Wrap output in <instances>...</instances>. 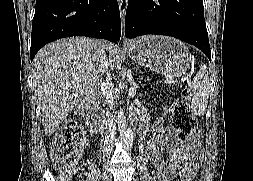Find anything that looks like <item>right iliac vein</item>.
I'll list each match as a JSON object with an SVG mask.
<instances>
[{"mask_svg":"<svg viewBox=\"0 0 253 181\" xmlns=\"http://www.w3.org/2000/svg\"><path fill=\"white\" fill-rule=\"evenodd\" d=\"M102 181H112L111 176L109 175L108 172H106L102 178Z\"/></svg>","mask_w":253,"mask_h":181,"instance_id":"obj_1","label":"right iliac vein"}]
</instances>
